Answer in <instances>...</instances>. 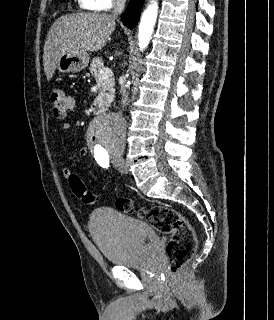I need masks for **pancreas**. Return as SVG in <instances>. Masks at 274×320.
Instances as JSON below:
<instances>
[{
    "instance_id": "pancreas-1",
    "label": "pancreas",
    "mask_w": 274,
    "mask_h": 320,
    "mask_svg": "<svg viewBox=\"0 0 274 320\" xmlns=\"http://www.w3.org/2000/svg\"><path fill=\"white\" fill-rule=\"evenodd\" d=\"M102 68H104L102 58H93L89 70L95 80H99V70H102ZM99 84H101V92L108 94V100L107 98L104 100L105 110H107L108 106H110L111 102H113V98H115V80L110 76V78H107V80H102V82H99Z\"/></svg>"
}]
</instances>
